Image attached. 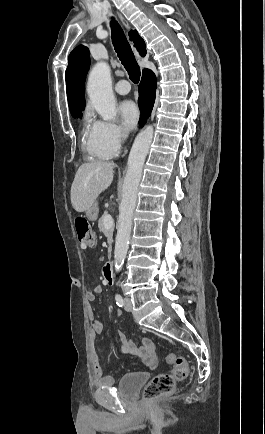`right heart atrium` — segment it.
Listing matches in <instances>:
<instances>
[{
	"instance_id": "obj_1",
	"label": "right heart atrium",
	"mask_w": 265,
	"mask_h": 434,
	"mask_svg": "<svg viewBox=\"0 0 265 434\" xmlns=\"http://www.w3.org/2000/svg\"><path fill=\"white\" fill-rule=\"evenodd\" d=\"M92 130L97 136L94 139L96 145L93 148L95 153L108 154V157H113V154L125 153V142L129 141V132H124V128L120 122H108L107 119H98L92 123ZM106 131V132H105ZM110 145H105L106 142Z\"/></svg>"
}]
</instances>
